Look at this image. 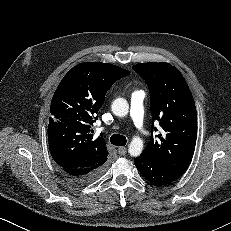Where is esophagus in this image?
<instances>
[{
    "label": "esophagus",
    "instance_id": "1",
    "mask_svg": "<svg viewBox=\"0 0 231 231\" xmlns=\"http://www.w3.org/2000/svg\"><path fill=\"white\" fill-rule=\"evenodd\" d=\"M118 153L120 155H125L127 153V149L125 147H119L118 148Z\"/></svg>",
    "mask_w": 231,
    "mask_h": 231
}]
</instances>
